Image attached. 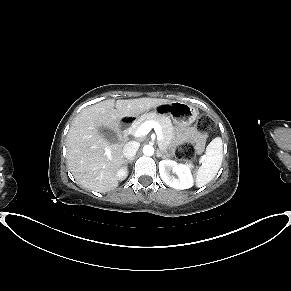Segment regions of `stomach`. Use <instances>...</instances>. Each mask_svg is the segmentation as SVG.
Here are the masks:
<instances>
[{"instance_id":"1","label":"stomach","mask_w":291,"mask_h":291,"mask_svg":"<svg viewBox=\"0 0 291 291\" xmlns=\"http://www.w3.org/2000/svg\"><path fill=\"white\" fill-rule=\"evenodd\" d=\"M154 112L159 115H169L181 127L191 125L198 116V111L194 107L180 101L160 104L154 108Z\"/></svg>"}]
</instances>
